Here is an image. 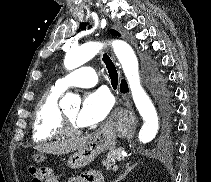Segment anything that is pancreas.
<instances>
[{
	"instance_id": "1",
	"label": "pancreas",
	"mask_w": 211,
	"mask_h": 182,
	"mask_svg": "<svg viewBox=\"0 0 211 182\" xmlns=\"http://www.w3.org/2000/svg\"><path fill=\"white\" fill-rule=\"evenodd\" d=\"M121 148L110 149L105 154V159L102 161L103 166L109 169L111 166L115 165L116 160H122Z\"/></svg>"
}]
</instances>
